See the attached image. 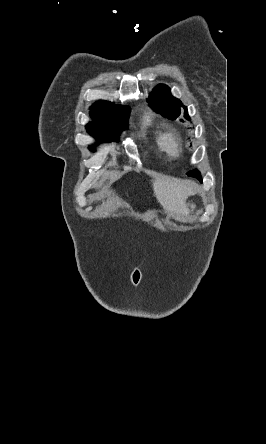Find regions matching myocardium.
<instances>
[{
  "instance_id": "obj_1",
  "label": "myocardium",
  "mask_w": 266,
  "mask_h": 444,
  "mask_svg": "<svg viewBox=\"0 0 266 444\" xmlns=\"http://www.w3.org/2000/svg\"><path fill=\"white\" fill-rule=\"evenodd\" d=\"M163 146L165 152L171 156H178L182 153L183 144L179 134L173 130L164 132L163 134Z\"/></svg>"
}]
</instances>
